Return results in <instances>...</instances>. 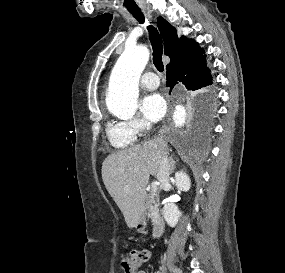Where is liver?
<instances>
[{
	"instance_id": "6515ba94",
	"label": "liver",
	"mask_w": 285,
	"mask_h": 273,
	"mask_svg": "<svg viewBox=\"0 0 285 273\" xmlns=\"http://www.w3.org/2000/svg\"><path fill=\"white\" fill-rule=\"evenodd\" d=\"M167 142L156 139L110 154L102 164L104 185L124 215L128 227L140 220L150 175L158 176L159 158Z\"/></svg>"
}]
</instances>
